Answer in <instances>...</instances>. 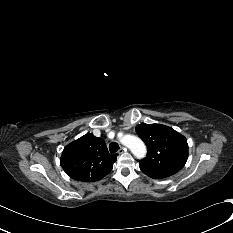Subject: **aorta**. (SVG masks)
Wrapping results in <instances>:
<instances>
[{"label":"aorta","instance_id":"obj_1","mask_svg":"<svg viewBox=\"0 0 233 233\" xmlns=\"http://www.w3.org/2000/svg\"><path fill=\"white\" fill-rule=\"evenodd\" d=\"M121 142L127 146L137 158H142L146 154L144 143L136 136L126 135L121 139Z\"/></svg>","mask_w":233,"mask_h":233}]
</instances>
